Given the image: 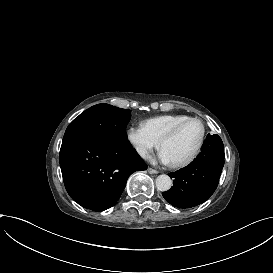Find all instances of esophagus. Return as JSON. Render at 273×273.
Listing matches in <instances>:
<instances>
[{"label": "esophagus", "mask_w": 273, "mask_h": 273, "mask_svg": "<svg viewBox=\"0 0 273 273\" xmlns=\"http://www.w3.org/2000/svg\"><path fill=\"white\" fill-rule=\"evenodd\" d=\"M147 171H148V173H150V174H157V173H159L158 170H155V169H153V168H151V167H148Z\"/></svg>", "instance_id": "obj_1"}]
</instances>
